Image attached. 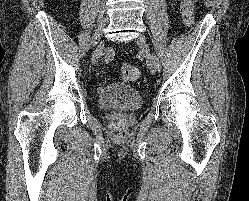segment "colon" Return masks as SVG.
Wrapping results in <instances>:
<instances>
[{
	"label": "colon",
	"mask_w": 249,
	"mask_h": 201,
	"mask_svg": "<svg viewBox=\"0 0 249 201\" xmlns=\"http://www.w3.org/2000/svg\"><path fill=\"white\" fill-rule=\"evenodd\" d=\"M195 0H182L181 1V15L186 27H191L194 24L195 18ZM120 75L126 81H134L139 76L137 67L130 63H125L120 68ZM114 136L118 139L125 137V125L120 119H115L111 123Z\"/></svg>",
	"instance_id": "1"
}]
</instances>
